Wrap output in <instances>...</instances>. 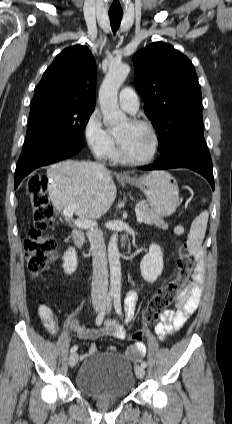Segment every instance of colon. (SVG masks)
Returning <instances> with one entry per match:
<instances>
[{"label":"colon","mask_w":232,"mask_h":424,"mask_svg":"<svg viewBox=\"0 0 232 424\" xmlns=\"http://www.w3.org/2000/svg\"><path fill=\"white\" fill-rule=\"evenodd\" d=\"M27 192L33 209L34 224L24 243L27 267L30 273L37 277L54 260L56 243L46 232L53 226V208L47 195V181L44 175L35 174L27 182ZM195 262L186 244H182L178 250V272L174 279L160 288L149 301L144 319L147 323H154L167 307L182 292ZM142 332H136L126 338V343L133 345L141 343Z\"/></svg>","instance_id":"colon-1"}]
</instances>
